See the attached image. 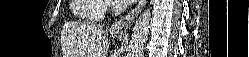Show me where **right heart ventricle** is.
Instances as JSON below:
<instances>
[{"instance_id": "obj_1", "label": "right heart ventricle", "mask_w": 249, "mask_h": 57, "mask_svg": "<svg viewBox=\"0 0 249 57\" xmlns=\"http://www.w3.org/2000/svg\"><path fill=\"white\" fill-rule=\"evenodd\" d=\"M106 4L107 2L103 0H73L71 10L80 19L98 21L103 17Z\"/></svg>"}]
</instances>
